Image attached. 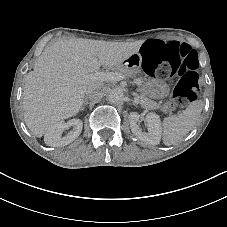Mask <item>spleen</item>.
<instances>
[{"label":"spleen","mask_w":227,"mask_h":227,"mask_svg":"<svg viewBox=\"0 0 227 227\" xmlns=\"http://www.w3.org/2000/svg\"><path fill=\"white\" fill-rule=\"evenodd\" d=\"M202 111V104L194 101L179 115H172L163 120L162 139L166 146L174 145L196 125Z\"/></svg>","instance_id":"3e777b00"}]
</instances>
